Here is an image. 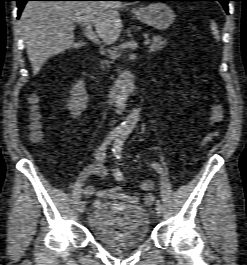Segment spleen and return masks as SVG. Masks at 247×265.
Returning a JSON list of instances; mask_svg holds the SVG:
<instances>
[{
  "mask_svg": "<svg viewBox=\"0 0 247 265\" xmlns=\"http://www.w3.org/2000/svg\"><path fill=\"white\" fill-rule=\"evenodd\" d=\"M210 27H211L212 34H213L214 38L217 41H219L220 40V36H219L218 27H217V24L213 20L211 21Z\"/></svg>",
  "mask_w": 247,
  "mask_h": 265,
  "instance_id": "1",
  "label": "spleen"
}]
</instances>
